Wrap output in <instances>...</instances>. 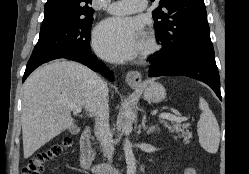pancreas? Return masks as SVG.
Instances as JSON below:
<instances>
[{"instance_id":"pancreas-1","label":"pancreas","mask_w":249,"mask_h":174,"mask_svg":"<svg viewBox=\"0 0 249 174\" xmlns=\"http://www.w3.org/2000/svg\"><path fill=\"white\" fill-rule=\"evenodd\" d=\"M161 123H163L171 133H177L178 134L177 137H183L185 141H188L190 138H192V133L189 132V130L187 129L189 127L188 124L180 125L177 123H173L172 125H170L166 121H162ZM177 137H175V139Z\"/></svg>"}]
</instances>
